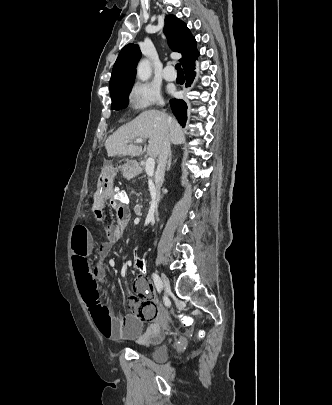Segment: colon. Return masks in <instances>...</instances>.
I'll return each instance as SVG.
<instances>
[{
	"label": "colon",
	"mask_w": 332,
	"mask_h": 405,
	"mask_svg": "<svg viewBox=\"0 0 332 405\" xmlns=\"http://www.w3.org/2000/svg\"><path fill=\"white\" fill-rule=\"evenodd\" d=\"M112 198L110 199V211L111 212H124L125 208L128 206V195L124 189L123 184H111ZM132 265L135 270H140L141 273L147 272L146 260L145 258H133ZM88 309V305H87ZM183 322L185 327L191 326V319L189 316L183 317Z\"/></svg>",
	"instance_id": "obj_1"
}]
</instances>
